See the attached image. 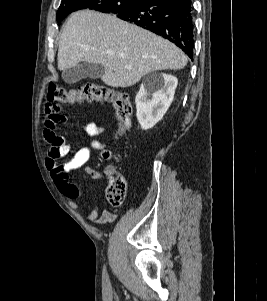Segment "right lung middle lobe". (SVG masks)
<instances>
[{
  "mask_svg": "<svg viewBox=\"0 0 267 301\" xmlns=\"http://www.w3.org/2000/svg\"><path fill=\"white\" fill-rule=\"evenodd\" d=\"M141 0H62L57 12L58 24L69 13L80 10L90 9L104 13L117 14L133 8Z\"/></svg>",
  "mask_w": 267,
  "mask_h": 301,
  "instance_id": "obj_1",
  "label": "right lung middle lobe"
}]
</instances>
